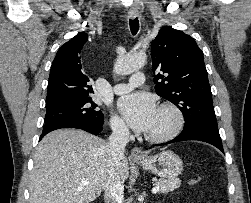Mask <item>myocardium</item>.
Masks as SVG:
<instances>
[{
    "instance_id": "1",
    "label": "myocardium",
    "mask_w": 251,
    "mask_h": 203,
    "mask_svg": "<svg viewBox=\"0 0 251 203\" xmlns=\"http://www.w3.org/2000/svg\"><path fill=\"white\" fill-rule=\"evenodd\" d=\"M158 110L169 112L173 117V124L171 128L164 133H160V134L147 133L145 135V138L148 141L155 142V143L166 142L175 138L183 129L184 121H185L184 115L181 109L173 103H170V102L162 103L159 106Z\"/></svg>"
}]
</instances>
